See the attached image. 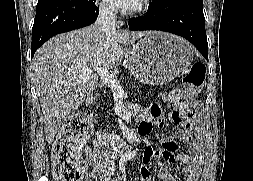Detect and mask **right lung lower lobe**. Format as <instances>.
<instances>
[{
    "label": "right lung lower lobe",
    "mask_w": 253,
    "mask_h": 181,
    "mask_svg": "<svg viewBox=\"0 0 253 181\" xmlns=\"http://www.w3.org/2000/svg\"><path fill=\"white\" fill-rule=\"evenodd\" d=\"M99 14L96 0H47L36 6L31 58L54 35L92 24Z\"/></svg>",
    "instance_id": "obj_1"
}]
</instances>
